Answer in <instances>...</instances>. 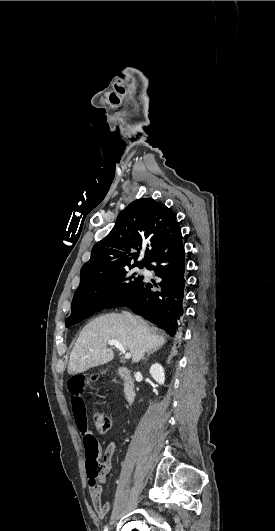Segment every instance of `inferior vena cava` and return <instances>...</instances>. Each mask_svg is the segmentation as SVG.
I'll use <instances>...</instances> for the list:
<instances>
[{
    "mask_svg": "<svg viewBox=\"0 0 275 531\" xmlns=\"http://www.w3.org/2000/svg\"><path fill=\"white\" fill-rule=\"evenodd\" d=\"M126 315H128L131 323H134V325H137V321H136V319H134V317H131V315H129V313H126Z\"/></svg>",
    "mask_w": 275,
    "mask_h": 531,
    "instance_id": "inferior-vena-cava-1",
    "label": "inferior vena cava"
}]
</instances>
